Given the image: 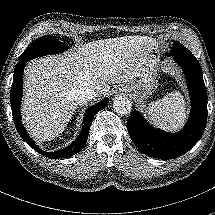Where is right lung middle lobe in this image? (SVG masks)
Segmentation results:
<instances>
[{
    "mask_svg": "<svg viewBox=\"0 0 215 215\" xmlns=\"http://www.w3.org/2000/svg\"><path fill=\"white\" fill-rule=\"evenodd\" d=\"M67 48L65 44L53 36H42L26 48L19 60L28 61L40 56L61 53Z\"/></svg>",
    "mask_w": 215,
    "mask_h": 215,
    "instance_id": "1",
    "label": "right lung middle lobe"
}]
</instances>
